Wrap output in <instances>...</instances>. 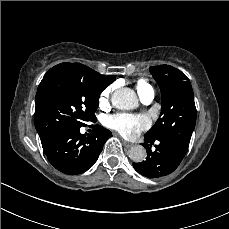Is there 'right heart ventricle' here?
Here are the masks:
<instances>
[{
  "label": "right heart ventricle",
  "mask_w": 229,
  "mask_h": 229,
  "mask_svg": "<svg viewBox=\"0 0 229 229\" xmlns=\"http://www.w3.org/2000/svg\"><path fill=\"white\" fill-rule=\"evenodd\" d=\"M136 90L138 94L140 95V97L149 92H154L152 86L144 79H139L136 82Z\"/></svg>",
  "instance_id": "1"
}]
</instances>
